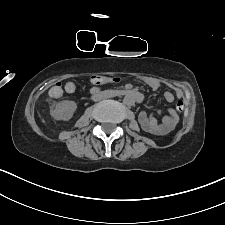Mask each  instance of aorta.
<instances>
[{
  "instance_id": "aorta-1",
  "label": "aorta",
  "mask_w": 225,
  "mask_h": 225,
  "mask_svg": "<svg viewBox=\"0 0 225 225\" xmlns=\"http://www.w3.org/2000/svg\"><path fill=\"white\" fill-rule=\"evenodd\" d=\"M123 102L126 105H133L135 100H134V97L132 95H125V97L123 99Z\"/></svg>"
}]
</instances>
